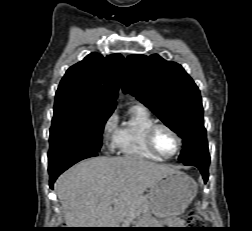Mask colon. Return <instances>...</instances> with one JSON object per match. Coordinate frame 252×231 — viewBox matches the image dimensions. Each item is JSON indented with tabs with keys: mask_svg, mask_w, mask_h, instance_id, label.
Returning <instances> with one entry per match:
<instances>
[{
	"mask_svg": "<svg viewBox=\"0 0 252 231\" xmlns=\"http://www.w3.org/2000/svg\"><path fill=\"white\" fill-rule=\"evenodd\" d=\"M187 222L191 226H198L201 224V219L195 214H190L187 218Z\"/></svg>",
	"mask_w": 252,
	"mask_h": 231,
	"instance_id": "obj_1",
	"label": "colon"
}]
</instances>
